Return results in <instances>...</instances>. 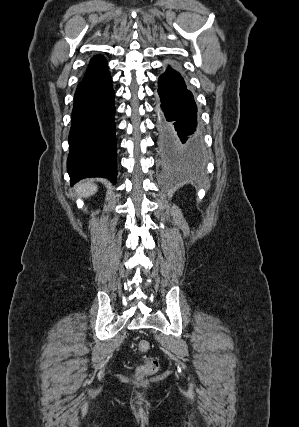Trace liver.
I'll list each match as a JSON object with an SVG mask.
<instances>
[{
    "mask_svg": "<svg viewBox=\"0 0 299 427\" xmlns=\"http://www.w3.org/2000/svg\"><path fill=\"white\" fill-rule=\"evenodd\" d=\"M76 190L80 196L87 198L97 192V185L91 181H87L77 184Z\"/></svg>",
    "mask_w": 299,
    "mask_h": 427,
    "instance_id": "obj_1",
    "label": "liver"
}]
</instances>
